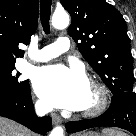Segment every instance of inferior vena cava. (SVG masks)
<instances>
[{
	"instance_id": "602c4592",
	"label": "inferior vena cava",
	"mask_w": 136,
	"mask_h": 136,
	"mask_svg": "<svg viewBox=\"0 0 136 136\" xmlns=\"http://www.w3.org/2000/svg\"><path fill=\"white\" fill-rule=\"evenodd\" d=\"M35 111L38 116H44L45 114L52 111V108L44 103H37L35 105Z\"/></svg>"
}]
</instances>
